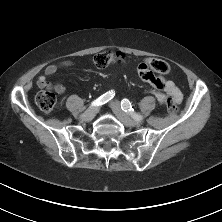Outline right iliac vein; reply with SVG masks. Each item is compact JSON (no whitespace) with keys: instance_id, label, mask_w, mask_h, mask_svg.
<instances>
[{"instance_id":"right-iliac-vein-1","label":"right iliac vein","mask_w":222,"mask_h":222,"mask_svg":"<svg viewBox=\"0 0 222 222\" xmlns=\"http://www.w3.org/2000/svg\"><path fill=\"white\" fill-rule=\"evenodd\" d=\"M97 111V106H91L80 116V118L85 122H89L95 117Z\"/></svg>"}]
</instances>
